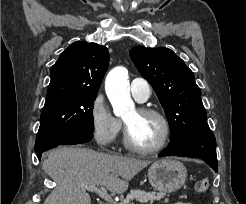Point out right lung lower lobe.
I'll return each instance as SVG.
<instances>
[{
	"mask_svg": "<svg viewBox=\"0 0 246 204\" xmlns=\"http://www.w3.org/2000/svg\"><path fill=\"white\" fill-rule=\"evenodd\" d=\"M92 137H93V133L88 131H80L76 133L74 136H72L71 138L62 142L61 145H73V144L85 143L90 141ZM42 153L43 152H37V157L39 160L41 159Z\"/></svg>",
	"mask_w": 246,
	"mask_h": 204,
	"instance_id": "right-lung-lower-lobe-1",
	"label": "right lung lower lobe"
}]
</instances>
